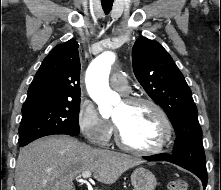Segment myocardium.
Wrapping results in <instances>:
<instances>
[{
  "mask_svg": "<svg viewBox=\"0 0 221 190\" xmlns=\"http://www.w3.org/2000/svg\"><path fill=\"white\" fill-rule=\"evenodd\" d=\"M124 102L130 106L139 105V104L150 106L157 113L161 121L162 132H161V136L157 144L151 147H146V148L135 147L129 144L124 139L121 129L119 128L118 124L114 121L115 138H116L117 144L121 148L127 151L138 153V154H155L164 150L169 144L171 137H172V124L168 115L164 111V109L158 103L146 97H137V96L128 97L124 100Z\"/></svg>",
  "mask_w": 221,
  "mask_h": 190,
  "instance_id": "1",
  "label": "myocardium"
}]
</instances>
